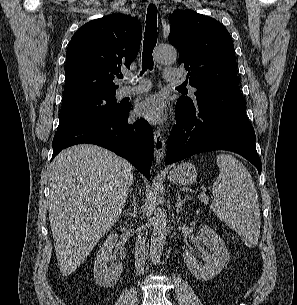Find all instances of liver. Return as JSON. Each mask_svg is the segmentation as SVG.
<instances>
[{"instance_id": "obj_1", "label": "liver", "mask_w": 297, "mask_h": 305, "mask_svg": "<svg viewBox=\"0 0 297 305\" xmlns=\"http://www.w3.org/2000/svg\"><path fill=\"white\" fill-rule=\"evenodd\" d=\"M48 215L62 275L74 272L118 219L133 182L125 159L91 144L61 151L49 166Z\"/></svg>"}]
</instances>
